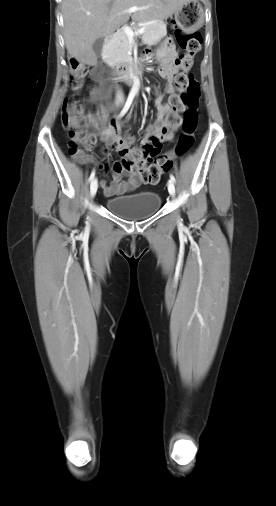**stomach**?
I'll return each instance as SVG.
<instances>
[{
  "instance_id": "stomach-1",
  "label": "stomach",
  "mask_w": 276,
  "mask_h": 506,
  "mask_svg": "<svg viewBox=\"0 0 276 506\" xmlns=\"http://www.w3.org/2000/svg\"><path fill=\"white\" fill-rule=\"evenodd\" d=\"M176 24L184 31L200 28L204 23V9L198 0H190L175 13Z\"/></svg>"
}]
</instances>
